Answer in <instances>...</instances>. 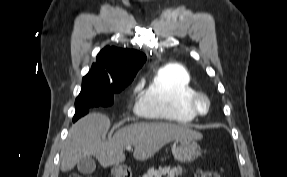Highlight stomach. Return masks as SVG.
Returning a JSON list of instances; mask_svg holds the SVG:
<instances>
[{
	"label": "stomach",
	"instance_id": "1",
	"mask_svg": "<svg viewBox=\"0 0 287 177\" xmlns=\"http://www.w3.org/2000/svg\"><path fill=\"white\" fill-rule=\"evenodd\" d=\"M172 154L179 162H192L201 155V148L194 138H179L174 140ZM113 177H125L126 169L120 165H114L111 170Z\"/></svg>",
	"mask_w": 287,
	"mask_h": 177
}]
</instances>
